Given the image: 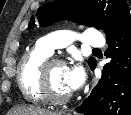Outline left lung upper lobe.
Returning <instances> with one entry per match:
<instances>
[{
  "instance_id": "obj_1",
  "label": "left lung upper lobe",
  "mask_w": 131,
  "mask_h": 115,
  "mask_svg": "<svg viewBox=\"0 0 131 115\" xmlns=\"http://www.w3.org/2000/svg\"><path fill=\"white\" fill-rule=\"evenodd\" d=\"M129 16L126 0H55L41 6L36 13L42 26H48L61 19H72L83 25L104 29L107 37ZM34 25L35 19L32 16L29 28ZM95 63V58L89 59L90 68Z\"/></svg>"
}]
</instances>
